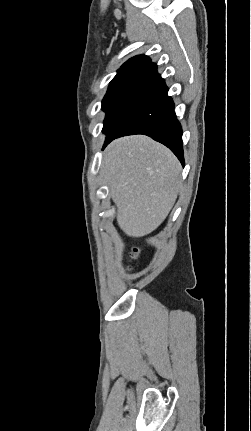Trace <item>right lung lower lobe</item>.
I'll list each match as a JSON object with an SVG mask.
<instances>
[{
	"label": "right lung lower lobe",
	"mask_w": 251,
	"mask_h": 431,
	"mask_svg": "<svg viewBox=\"0 0 251 431\" xmlns=\"http://www.w3.org/2000/svg\"><path fill=\"white\" fill-rule=\"evenodd\" d=\"M167 92L157 65L150 64L105 131L104 147L121 136L144 134L167 146L184 165L182 129Z\"/></svg>",
	"instance_id": "98d812e1"
}]
</instances>
